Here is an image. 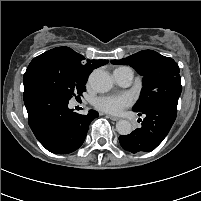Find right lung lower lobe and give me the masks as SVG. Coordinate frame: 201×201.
<instances>
[{
  "label": "right lung lower lobe",
  "instance_id": "obj_1",
  "mask_svg": "<svg viewBox=\"0 0 201 201\" xmlns=\"http://www.w3.org/2000/svg\"><path fill=\"white\" fill-rule=\"evenodd\" d=\"M67 99L46 88L30 85L24 88L28 122L38 141L50 152L67 154L84 142L90 122L98 112L81 115L68 108Z\"/></svg>",
  "mask_w": 201,
  "mask_h": 201
}]
</instances>
